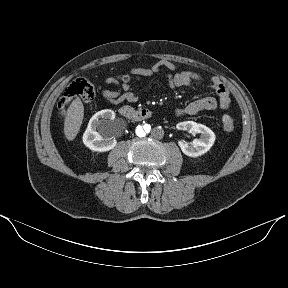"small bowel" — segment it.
<instances>
[{
    "mask_svg": "<svg viewBox=\"0 0 288 288\" xmlns=\"http://www.w3.org/2000/svg\"><path fill=\"white\" fill-rule=\"evenodd\" d=\"M130 72L143 77H150L155 73L164 72L171 88H197L205 82V78L199 73L179 69L174 63L168 60H160L150 68H133ZM105 83L114 84L116 87L114 90H102L101 95L107 102L113 105H120L125 102L132 103L138 100V96L128 83H118L112 78H106ZM209 83L211 91L217 98L212 96L200 98L190 102L182 109H177L175 114L177 116H195L202 111L227 110L231 102L227 88L215 77L211 78Z\"/></svg>",
    "mask_w": 288,
    "mask_h": 288,
    "instance_id": "c3829d8e",
    "label": "small bowel"
}]
</instances>
